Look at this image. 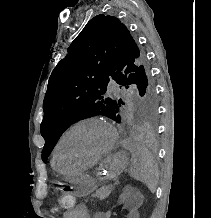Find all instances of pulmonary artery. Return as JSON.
Segmentation results:
<instances>
[{"label":"pulmonary artery","instance_id":"1","mask_svg":"<svg viewBox=\"0 0 211 218\" xmlns=\"http://www.w3.org/2000/svg\"><path fill=\"white\" fill-rule=\"evenodd\" d=\"M105 88L108 89L109 95L121 94V86L119 84H113V81H110V84H106Z\"/></svg>","mask_w":211,"mask_h":218}]
</instances>
